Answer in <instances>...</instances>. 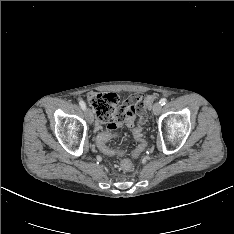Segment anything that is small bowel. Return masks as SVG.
I'll use <instances>...</instances> for the list:
<instances>
[{
    "label": "small bowel",
    "instance_id": "small-bowel-1",
    "mask_svg": "<svg viewBox=\"0 0 234 234\" xmlns=\"http://www.w3.org/2000/svg\"><path fill=\"white\" fill-rule=\"evenodd\" d=\"M144 97L143 95H135L128 99L122 106L121 110L127 115L126 126L130 129L135 128V121L137 117V122L140 126H143V122H146L147 115H144ZM139 141V140H138Z\"/></svg>",
    "mask_w": 234,
    "mask_h": 234
}]
</instances>
